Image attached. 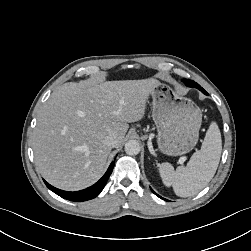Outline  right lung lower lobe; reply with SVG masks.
I'll return each instance as SVG.
<instances>
[{
  "mask_svg": "<svg viewBox=\"0 0 251 251\" xmlns=\"http://www.w3.org/2000/svg\"><path fill=\"white\" fill-rule=\"evenodd\" d=\"M114 164H115V161H113L110 164L107 172L104 174V176L98 182H96L91 187L86 188L81 191H76V192L63 191V190H60V189H57V188L51 186L45 180H44V182H45L46 186L51 191H53L54 193H56L60 197L65 198L70 201L83 202L86 200L93 199L100 194V192L103 190L109 176L111 175V173L113 171Z\"/></svg>",
  "mask_w": 251,
  "mask_h": 251,
  "instance_id": "1",
  "label": "right lung lower lobe"
}]
</instances>
